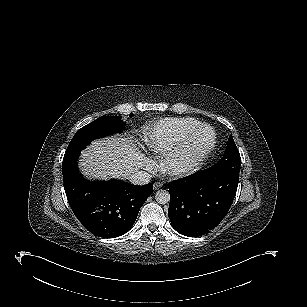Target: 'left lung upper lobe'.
I'll list each match as a JSON object with an SVG mask.
<instances>
[{
	"instance_id": "left-lung-upper-lobe-1",
	"label": "left lung upper lobe",
	"mask_w": 307,
	"mask_h": 307,
	"mask_svg": "<svg viewBox=\"0 0 307 307\" xmlns=\"http://www.w3.org/2000/svg\"><path fill=\"white\" fill-rule=\"evenodd\" d=\"M241 166V158L239 151L236 147V144L231 136L229 138L227 148L223 157L210 169L213 171H221V170H231L236 173H239Z\"/></svg>"
}]
</instances>
